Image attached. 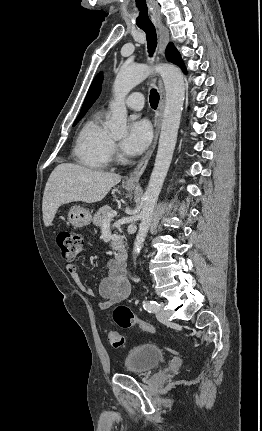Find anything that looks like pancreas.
<instances>
[{
    "instance_id": "obj_1",
    "label": "pancreas",
    "mask_w": 262,
    "mask_h": 431,
    "mask_svg": "<svg viewBox=\"0 0 262 431\" xmlns=\"http://www.w3.org/2000/svg\"><path fill=\"white\" fill-rule=\"evenodd\" d=\"M112 212V209L110 206H103L100 208L93 217V224L97 227H101L104 223L105 218L107 217V214ZM118 243L116 241H113L111 243L112 247H115Z\"/></svg>"
}]
</instances>
